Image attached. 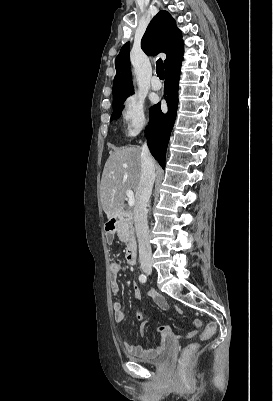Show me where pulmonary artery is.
I'll list each match as a JSON object with an SVG mask.
<instances>
[{"instance_id": "1", "label": "pulmonary artery", "mask_w": 273, "mask_h": 401, "mask_svg": "<svg viewBox=\"0 0 273 401\" xmlns=\"http://www.w3.org/2000/svg\"><path fill=\"white\" fill-rule=\"evenodd\" d=\"M150 86L153 90H159L161 83L159 80H152Z\"/></svg>"}]
</instances>
